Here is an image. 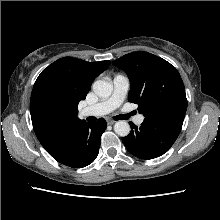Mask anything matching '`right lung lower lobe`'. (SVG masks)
I'll return each mask as SVG.
<instances>
[{
  "label": "right lung lower lobe",
  "instance_id": "98d812e1",
  "mask_svg": "<svg viewBox=\"0 0 220 220\" xmlns=\"http://www.w3.org/2000/svg\"><path fill=\"white\" fill-rule=\"evenodd\" d=\"M106 129L103 118L95 123L82 121L73 126L55 146L47 152L58 162L73 168L91 164L98 155L101 135Z\"/></svg>",
  "mask_w": 220,
  "mask_h": 220
}]
</instances>
